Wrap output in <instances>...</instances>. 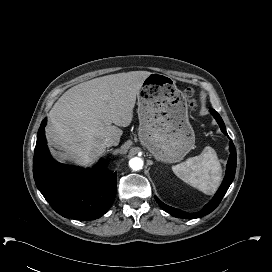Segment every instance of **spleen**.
<instances>
[{
    "instance_id": "3e777b00",
    "label": "spleen",
    "mask_w": 272,
    "mask_h": 272,
    "mask_svg": "<svg viewBox=\"0 0 272 272\" xmlns=\"http://www.w3.org/2000/svg\"><path fill=\"white\" fill-rule=\"evenodd\" d=\"M174 174L185 183L211 195L218 188L222 169L215 150L205 147L198 156L172 166Z\"/></svg>"
}]
</instances>
